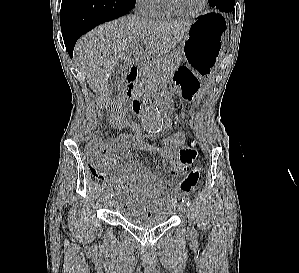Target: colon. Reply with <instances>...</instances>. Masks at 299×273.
Instances as JSON below:
<instances>
[{"mask_svg":"<svg viewBox=\"0 0 299 273\" xmlns=\"http://www.w3.org/2000/svg\"><path fill=\"white\" fill-rule=\"evenodd\" d=\"M184 141L185 133L181 127L174 134L162 138L158 142H154L153 139L143 133L138 134L131 140H126L124 137L119 136L111 140L94 141L87 147L89 167L96 178H103L105 176L104 155L108 151L120 150L127 145L133 146L138 150H157L178 146ZM200 174L201 169L199 167L191 169L181 180L179 192L185 195L191 193L199 181Z\"/></svg>","mask_w":299,"mask_h":273,"instance_id":"obj_1","label":"colon"}]
</instances>
